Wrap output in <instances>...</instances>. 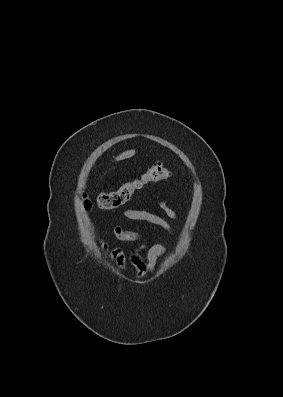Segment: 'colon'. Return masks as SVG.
<instances>
[{
    "label": "colon",
    "instance_id": "colon-1",
    "mask_svg": "<svg viewBox=\"0 0 283 397\" xmlns=\"http://www.w3.org/2000/svg\"><path fill=\"white\" fill-rule=\"evenodd\" d=\"M170 169L163 163L150 166L140 177L123 183L117 189L100 193L96 202L100 209L112 210L123 206L129 201L135 191L150 183H157L171 177ZM85 207L89 208L91 202L85 198Z\"/></svg>",
    "mask_w": 283,
    "mask_h": 397
}]
</instances>
